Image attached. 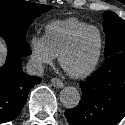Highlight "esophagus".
Returning <instances> with one entry per match:
<instances>
[{
	"label": "esophagus",
	"mask_w": 125,
	"mask_h": 125,
	"mask_svg": "<svg viewBox=\"0 0 125 125\" xmlns=\"http://www.w3.org/2000/svg\"><path fill=\"white\" fill-rule=\"evenodd\" d=\"M51 83L56 88H62L64 86V83L58 78L51 79Z\"/></svg>",
	"instance_id": "obj_1"
}]
</instances>
